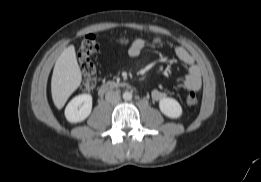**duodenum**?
<instances>
[{
	"label": "duodenum",
	"instance_id": "duodenum-1",
	"mask_svg": "<svg viewBox=\"0 0 261 182\" xmlns=\"http://www.w3.org/2000/svg\"><path fill=\"white\" fill-rule=\"evenodd\" d=\"M120 86L119 83L116 82H106L103 83L102 85H100V87L98 88V95L99 96H103L105 94H107L109 91L118 88Z\"/></svg>",
	"mask_w": 261,
	"mask_h": 182
}]
</instances>
